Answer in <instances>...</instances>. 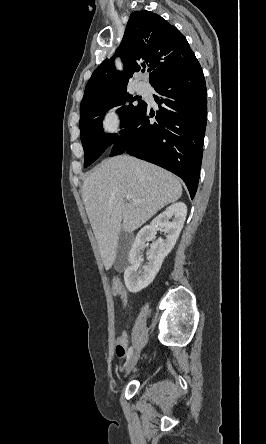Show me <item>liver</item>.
<instances>
[{
    "label": "liver",
    "mask_w": 266,
    "mask_h": 444,
    "mask_svg": "<svg viewBox=\"0 0 266 444\" xmlns=\"http://www.w3.org/2000/svg\"><path fill=\"white\" fill-rule=\"evenodd\" d=\"M82 191L106 270L115 262L121 230L133 232L182 195L173 174L127 155L102 161L84 180ZM127 195L138 203L126 202Z\"/></svg>",
    "instance_id": "1"
}]
</instances>
